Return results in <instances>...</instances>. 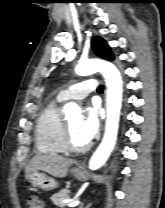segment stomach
Instances as JSON below:
<instances>
[{
	"mask_svg": "<svg viewBox=\"0 0 165 208\" xmlns=\"http://www.w3.org/2000/svg\"><path fill=\"white\" fill-rule=\"evenodd\" d=\"M71 174L78 180L85 179V173L79 168H73ZM27 180L32 186L38 187L44 191H51L57 187L56 181L44 173L32 171L26 175Z\"/></svg>",
	"mask_w": 165,
	"mask_h": 208,
	"instance_id": "0dacf381",
	"label": "stomach"
}]
</instances>
